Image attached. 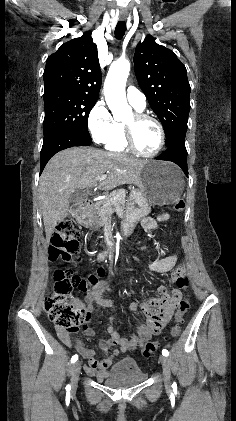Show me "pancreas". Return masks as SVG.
<instances>
[{"label":"pancreas","mask_w":236,"mask_h":421,"mask_svg":"<svg viewBox=\"0 0 236 421\" xmlns=\"http://www.w3.org/2000/svg\"><path fill=\"white\" fill-rule=\"evenodd\" d=\"M125 190H113L108 198L98 200L92 208V215L95 219L96 225L109 227L113 213H116L120 219L125 215Z\"/></svg>","instance_id":"pancreas-1"}]
</instances>
